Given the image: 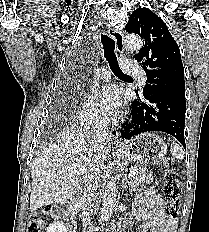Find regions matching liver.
<instances>
[{
  "label": "liver",
  "mask_w": 209,
  "mask_h": 232,
  "mask_svg": "<svg viewBox=\"0 0 209 232\" xmlns=\"http://www.w3.org/2000/svg\"><path fill=\"white\" fill-rule=\"evenodd\" d=\"M107 143H98L87 131L72 126L36 157L31 170L30 210L75 199L81 192L91 166L104 160Z\"/></svg>",
  "instance_id": "6515ba94"
}]
</instances>
